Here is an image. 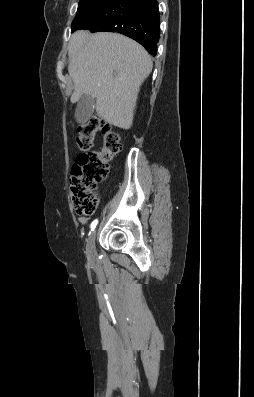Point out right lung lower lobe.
<instances>
[{
	"instance_id": "98d812e1",
	"label": "right lung lower lobe",
	"mask_w": 254,
	"mask_h": 397,
	"mask_svg": "<svg viewBox=\"0 0 254 397\" xmlns=\"http://www.w3.org/2000/svg\"><path fill=\"white\" fill-rule=\"evenodd\" d=\"M159 27L157 0H108L78 29L124 34L142 44L151 55L155 56Z\"/></svg>"
}]
</instances>
